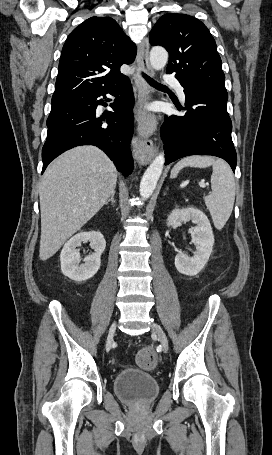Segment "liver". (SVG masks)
Instances as JSON below:
<instances>
[{
    "mask_svg": "<svg viewBox=\"0 0 272 455\" xmlns=\"http://www.w3.org/2000/svg\"><path fill=\"white\" fill-rule=\"evenodd\" d=\"M117 171L94 146H80L56 158L39 188L40 260L52 257L115 192Z\"/></svg>",
    "mask_w": 272,
    "mask_h": 455,
    "instance_id": "obj_1",
    "label": "liver"
}]
</instances>
